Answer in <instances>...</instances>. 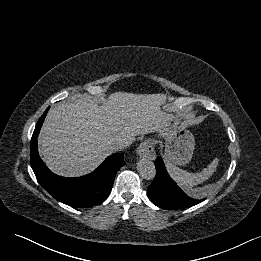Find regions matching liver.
Instances as JSON below:
<instances>
[{
  "label": "liver",
  "instance_id": "obj_1",
  "mask_svg": "<svg viewBox=\"0 0 261 261\" xmlns=\"http://www.w3.org/2000/svg\"><path fill=\"white\" fill-rule=\"evenodd\" d=\"M163 94L115 92L98 104L92 98L58 103L41 128L39 152L48 168L61 176H82L114 151L118 139L130 144L138 135L161 130L170 118L161 110Z\"/></svg>",
  "mask_w": 261,
  "mask_h": 261
}]
</instances>
